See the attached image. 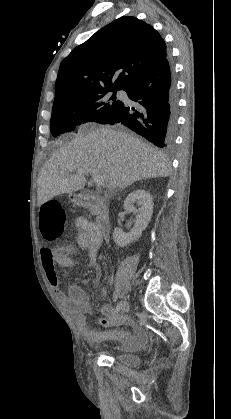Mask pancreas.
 <instances>
[{
	"instance_id": "cf45deb5",
	"label": "pancreas",
	"mask_w": 231,
	"mask_h": 419,
	"mask_svg": "<svg viewBox=\"0 0 231 419\" xmlns=\"http://www.w3.org/2000/svg\"><path fill=\"white\" fill-rule=\"evenodd\" d=\"M90 209H91V214H95V209L93 207H91Z\"/></svg>"
}]
</instances>
